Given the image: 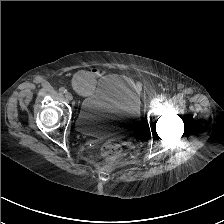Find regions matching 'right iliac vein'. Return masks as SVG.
I'll use <instances>...</instances> for the list:
<instances>
[{
    "label": "right iliac vein",
    "mask_w": 224,
    "mask_h": 224,
    "mask_svg": "<svg viewBox=\"0 0 224 224\" xmlns=\"http://www.w3.org/2000/svg\"><path fill=\"white\" fill-rule=\"evenodd\" d=\"M65 98L68 100V101H71L73 99V96L70 92H66L65 93Z\"/></svg>",
    "instance_id": "obj_1"
}]
</instances>
